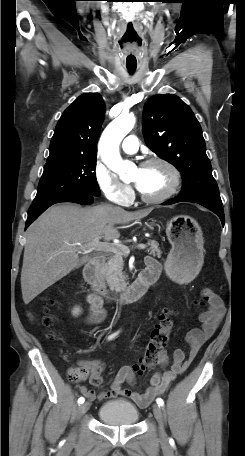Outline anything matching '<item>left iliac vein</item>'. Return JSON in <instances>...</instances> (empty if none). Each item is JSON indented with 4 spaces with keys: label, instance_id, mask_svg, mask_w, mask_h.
<instances>
[{
    "label": "left iliac vein",
    "instance_id": "1",
    "mask_svg": "<svg viewBox=\"0 0 245 456\" xmlns=\"http://www.w3.org/2000/svg\"><path fill=\"white\" fill-rule=\"evenodd\" d=\"M153 413L159 424V435L162 439H166L167 435H166L164 425H163V413H162V410L159 405H157V404L153 405Z\"/></svg>",
    "mask_w": 245,
    "mask_h": 456
}]
</instances>
